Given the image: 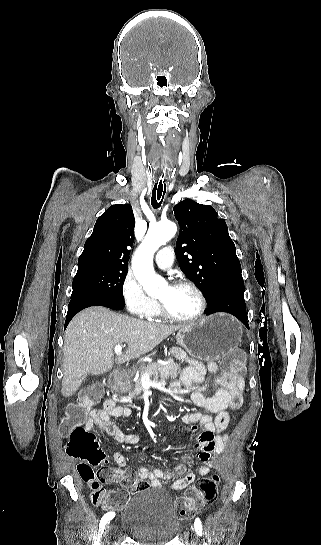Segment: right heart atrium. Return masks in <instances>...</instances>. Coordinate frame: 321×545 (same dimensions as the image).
Returning a JSON list of instances; mask_svg holds the SVG:
<instances>
[{
	"label": "right heart atrium",
	"instance_id": "d8ad5b80",
	"mask_svg": "<svg viewBox=\"0 0 321 545\" xmlns=\"http://www.w3.org/2000/svg\"><path fill=\"white\" fill-rule=\"evenodd\" d=\"M121 296L127 311L143 320L151 319L158 305L149 300L144 292L140 278L128 272L121 284Z\"/></svg>",
	"mask_w": 321,
	"mask_h": 545
}]
</instances>
